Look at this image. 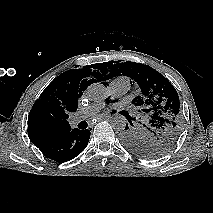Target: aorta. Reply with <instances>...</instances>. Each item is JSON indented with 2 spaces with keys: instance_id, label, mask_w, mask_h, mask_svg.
Returning a JSON list of instances; mask_svg holds the SVG:
<instances>
[{
  "instance_id": "762f6f07",
  "label": "aorta",
  "mask_w": 213,
  "mask_h": 213,
  "mask_svg": "<svg viewBox=\"0 0 213 213\" xmlns=\"http://www.w3.org/2000/svg\"><path fill=\"white\" fill-rule=\"evenodd\" d=\"M108 94L109 91L107 87L101 83H93L87 88L88 97L94 101L105 100ZM112 127L118 132H123L126 127V119L121 116L114 118Z\"/></svg>"
}]
</instances>
